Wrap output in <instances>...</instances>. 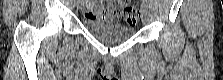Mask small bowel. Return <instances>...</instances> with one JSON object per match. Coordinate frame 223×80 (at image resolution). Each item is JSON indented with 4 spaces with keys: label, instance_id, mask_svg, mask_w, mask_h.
I'll return each instance as SVG.
<instances>
[{
    "label": "small bowel",
    "instance_id": "1",
    "mask_svg": "<svg viewBox=\"0 0 223 80\" xmlns=\"http://www.w3.org/2000/svg\"><path fill=\"white\" fill-rule=\"evenodd\" d=\"M84 15L90 19L98 20H117L120 19L114 12V2L107 1L106 5L102 3H88L84 8Z\"/></svg>",
    "mask_w": 223,
    "mask_h": 80
}]
</instances>
